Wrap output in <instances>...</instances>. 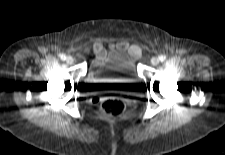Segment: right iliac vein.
Listing matches in <instances>:
<instances>
[{
	"label": "right iliac vein",
	"instance_id": "right-iliac-vein-1",
	"mask_svg": "<svg viewBox=\"0 0 225 155\" xmlns=\"http://www.w3.org/2000/svg\"><path fill=\"white\" fill-rule=\"evenodd\" d=\"M66 62L67 64H73L74 63V58L72 56H67L66 57Z\"/></svg>",
	"mask_w": 225,
	"mask_h": 155
}]
</instances>
